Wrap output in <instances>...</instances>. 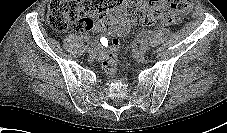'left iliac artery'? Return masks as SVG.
<instances>
[{
    "label": "left iliac artery",
    "mask_w": 227,
    "mask_h": 133,
    "mask_svg": "<svg viewBox=\"0 0 227 133\" xmlns=\"http://www.w3.org/2000/svg\"><path fill=\"white\" fill-rule=\"evenodd\" d=\"M141 47H142L143 49H145V50H149V49H150L148 43H145V42L141 44Z\"/></svg>",
    "instance_id": "44dca946"
}]
</instances>
